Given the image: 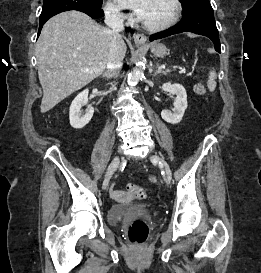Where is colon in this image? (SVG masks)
<instances>
[{"label":"colon","instance_id":"obj_1","mask_svg":"<svg viewBox=\"0 0 261 273\" xmlns=\"http://www.w3.org/2000/svg\"><path fill=\"white\" fill-rule=\"evenodd\" d=\"M199 91L203 92V89L199 88ZM127 194L138 200L148 198L146 189L139 185H128ZM148 233V227L143 221L134 222L128 230L129 239L134 243H143L147 239Z\"/></svg>","mask_w":261,"mask_h":273}]
</instances>
